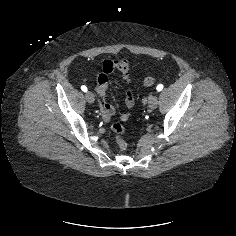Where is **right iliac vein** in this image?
Listing matches in <instances>:
<instances>
[{
    "label": "right iliac vein",
    "instance_id": "obj_1",
    "mask_svg": "<svg viewBox=\"0 0 236 236\" xmlns=\"http://www.w3.org/2000/svg\"><path fill=\"white\" fill-rule=\"evenodd\" d=\"M85 98H86L87 102H89V103H93L95 101V97L92 92H86Z\"/></svg>",
    "mask_w": 236,
    "mask_h": 236
}]
</instances>
